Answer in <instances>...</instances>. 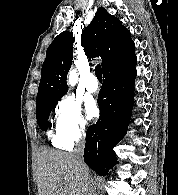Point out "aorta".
Returning a JSON list of instances; mask_svg holds the SVG:
<instances>
[{
	"instance_id": "1",
	"label": "aorta",
	"mask_w": 178,
	"mask_h": 195,
	"mask_svg": "<svg viewBox=\"0 0 178 195\" xmlns=\"http://www.w3.org/2000/svg\"><path fill=\"white\" fill-rule=\"evenodd\" d=\"M77 79H78V76H77L76 71L75 70H71L69 72V75H68V83H69V85L74 86L77 83Z\"/></svg>"
}]
</instances>
